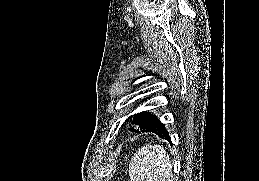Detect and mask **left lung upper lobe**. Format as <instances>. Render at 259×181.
<instances>
[{
	"instance_id": "1",
	"label": "left lung upper lobe",
	"mask_w": 259,
	"mask_h": 181,
	"mask_svg": "<svg viewBox=\"0 0 259 181\" xmlns=\"http://www.w3.org/2000/svg\"><path fill=\"white\" fill-rule=\"evenodd\" d=\"M157 117L149 112L135 114L134 123L139 126L138 130L130 129L133 132L140 133L147 129Z\"/></svg>"
}]
</instances>
